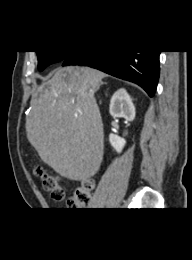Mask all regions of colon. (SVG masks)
Segmentation results:
<instances>
[{
    "label": "colon",
    "mask_w": 192,
    "mask_h": 260,
    "mask_svg": "<svg viewBox=\"0 0 192 260\" xmlns=\"http://www.w3.org/2000/svg\"><path fill=\"white\" fill-rule=\"evenodd\" d=\"M34 173L40 177L42 186L45 191L49 192L51 197L56 201H61L65 197V190L60 184L58 176L47 172L44 168L36 166ZM94 183L92 180H85L74 191L72 197L68 200L67 206L70 209L85 208L91 200V192Z\"/></svg>",
    "instance_id": "obj_1"
}]
</instances>
